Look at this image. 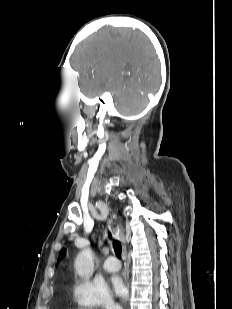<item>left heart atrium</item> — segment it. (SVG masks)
Returning a JSON list of instances; mask_svg holds the SVG:
<instances>
[{
  "label": "left heart atrium",
  "instance_id": "1",
  "mask_svg": "<svg viewBox=\"0 0 232 309\" xmlns=\"http://www.w3.org/2000/svg\"><path fill=\"white\" fill-rule=\"evenodd\" d=\"M111 282L114 292L120 297H125L127 294V288L122 278L115 276L112 278Z\"/></svg>",
  "mask_w": 232,
  "mask_h": 309
}]
</instances>
